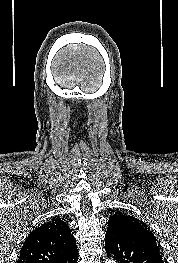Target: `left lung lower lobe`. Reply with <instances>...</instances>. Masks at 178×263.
Masks as SVG:
<instances>
[{"label":"left lung lower lobe","mask_w":178,"mask_h":263,"mask_svg":"<svg viewBox=\"0 0 178 263\" xmlns=\"http://www.w3.org/2000/svg\"><path fill=\"white\" fill-rule=\"evenodd\" d=\"M105 250L118 263H164L154 236L117 218L108 221Z\"/></svg>","instance_id":"left-lung-lower-lobe-1"}]
</instances>
